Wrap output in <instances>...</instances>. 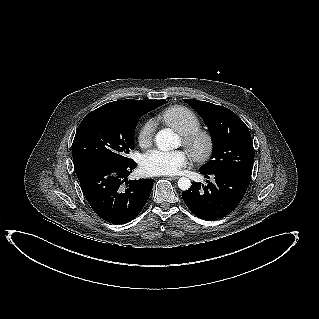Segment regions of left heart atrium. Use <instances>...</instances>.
Returning <instances> with one entry per match:
<instances>
[{
    "instance_id": "1",
    "label": "left heart atrium",
    "mask_w": 319,
    "mask_h": 319,
    "mask_svg": "<svg viewBox=\"0 0 319 319\" xmlns=\"http://www.w3.org/2000/svg\"><path fill=\"white\" fill-rule=\"evenodd\" d=\"M187 154L182 150H150L140 160L141 171L148 176L172 175L187 164Z\"/></svg>"
}]
</instances>
